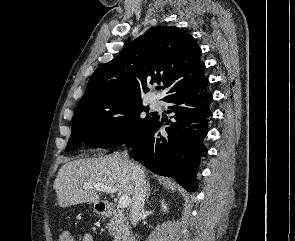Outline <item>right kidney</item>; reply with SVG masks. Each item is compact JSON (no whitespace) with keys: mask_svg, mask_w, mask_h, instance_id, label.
<instances>
[{"mask_svg":"<svg viewBox=\"0 0 295 241\" xmlns=\"http://www.w3.org/2000/svg\"><path fill=\"white\" fill-rule=\"evenodd\" d=\"M161 204H162V210L164 212L168 211L167 205L164 203V200L161 201Z\"/></svg>","mask_w":295,"mask_h":241,"instance_id":"right-kidney-1","label":"right kidney"}]
</instances>
